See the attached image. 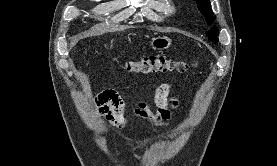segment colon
Segmentation results:
<instances>
[{
	"label": "colon",
	"instance_id": "obj_1",
	"mask_svg": "<svg viewBox=\"0 0 277 166\" xmlns=\"http://www.w3.org/2000/svg\"><path fill=\"white\" fill-rule=\"evenodd\" d=\"M127 70L141 74L165 73L170 71L183 72L189 68L185 62L174 61L163 55H150L138 60L128 61Z\"/></svg>",
	"mask_w": 277,
	"mask_h": 166
}]
</instances>
